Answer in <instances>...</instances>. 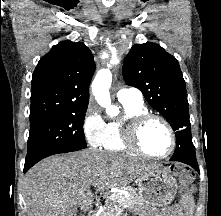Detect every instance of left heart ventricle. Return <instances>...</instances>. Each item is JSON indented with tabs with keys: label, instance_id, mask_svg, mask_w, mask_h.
I'll return each instance as SVG.
<instances>
[{
	"label": "left heart ventricle",
	"instance_id": "b2bd125f",
	"mask_svg": "<svg viewBox=\"0 0 221 216\" xmlns=\"http://www.w3.org/2000/svg\"><path fill=\"white\" fill-rule=\"evenodd\" d=\"M141 142L144 148L153 154L161 155L170 148V135L159 121H150L143 129Z\"/></svg>",
	"mask_w": 221,
	"mask_h": 216
}]
</instances>
